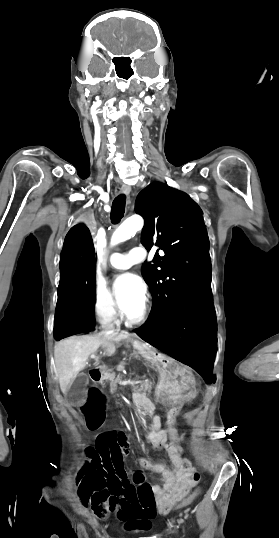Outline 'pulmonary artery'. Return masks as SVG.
<instances>
[{"mask_svg":"<svg viewBox=\"0 0 279 538\" xmlns=\"http://www.w3.org/2000/svg\"><path fill=\"white\" fill-rule=\"evenodd\" d=\"M141 259H131L128 253L114 252L110 258V264L114 269L125 270L132 266L133 263L140 262Z\"/></svg>","mask_w":279,"mask_h":538,"instance_id":"obj_1","label":"pulmonary artery"}]
</instances>
